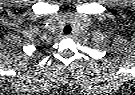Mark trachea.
Returning a JSON list of instances; mask_svg holds the SVG:
<instances>
[{"mask_svg": "<svg viewBox=\"0 0 135 95\" xmlns=\"http://www.w3.org/2000/svg\"><path fill=\"white\" fill-rule=\"evenodd\" d=\"M71 30H72L71 26L70 25H66L64 27V29H63V33L64 34H70L71 33Z\"/></svg>", "mask_w": 135, "mask_h": 95, "instance_id": "trachea-1", "label": "trachea"}]
</instances>
